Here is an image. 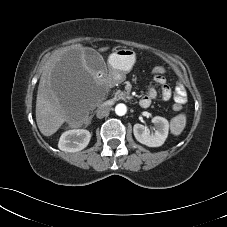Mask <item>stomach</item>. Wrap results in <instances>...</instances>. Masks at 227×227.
I'll return each mask as SVG.
<instances>
[{"instance_id": "stomach-1", "label": "stomach", "mask_w": 227, "mask_h": 227, "mask_svg": "<svg viewBox=\"0 0 227 227\" xmlns=\"http://www.w3.org/2000/svg\"><path fill=\"white\" fill-rule=\"evenodd\" d=\"M135 52L131 49H116L109 57L110 69L116 76V81L125 79L126 74L135 63Z\"/></svg>"}]
</instances>
